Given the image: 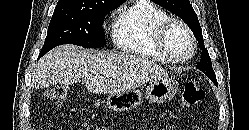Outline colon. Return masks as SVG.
<instances>
[{
	"label": "colon",
	"instance_id": "obj_1",
	"mask_svg": "<svg viewBox=\"0 0 249 130\" xmlns=\"http://www.w3.org/2000/svg\"><path fill=\"white\" fill-rule=\"evenodd\" d=\"M205 90L195 81H190L186 83L183 90V103L186 106H194L205 99ZM46 98L52 104L56 106H61L65 103L67 99V90L64 86H55L49 89L46 93ZM87 130H107L104 127H99L95 125H89ZM169 130V129H162Z\"/></svg>",
	"mask_w": 249,
	"mask_h": 130
}]
</instances>
